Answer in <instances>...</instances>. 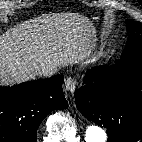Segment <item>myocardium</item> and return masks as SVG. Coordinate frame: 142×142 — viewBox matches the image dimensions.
<instances>
[{"label":"myocardium","instance_id":"f54148a6","mask_svg":"<svg viewBox=\"0 0 142 142\" xmlns=\"http://www.w3.org/2000/svg\"><path fill=\"white\" fill-rule=\"evenodd\" d=\"M102 54L103 53L101 51L96 52L95 54H93L90 57V61H96L97 59H99L102 56Z\"/></svg>","mask_w":142,"mask_h":142}]
</instances>
